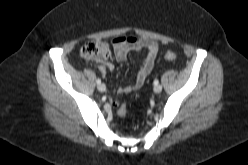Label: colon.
<instances>
[{
    "instance_id": "obj_1",
    "label": "colon",
    "mask_w": 248,
    "mask_h": 165,
    "mask_svg": "<svg viewBox=\"0 0 248 165\" xmlns=\"http://www.w3.org/2000/svg\"><path fill=\"white\" fill-rule=\"evenodd\" d=\"M80 56L84 60H93L99 63L106 61L110 57L109 47L106 43L101 41H88L86 42L80 51ZM177 57L176 53L168 51L165 53V58L167 60H175ZM113 105L118 109V114L120 117L126 115V107L120 104L118 101H114Z\"/></svg>"
}]
</instances>
